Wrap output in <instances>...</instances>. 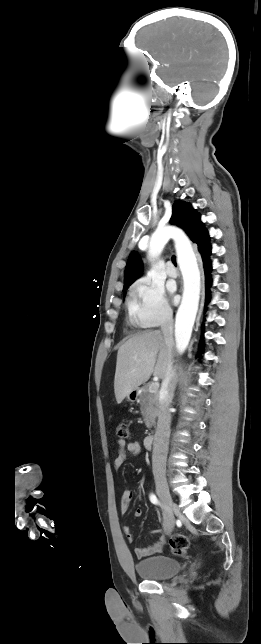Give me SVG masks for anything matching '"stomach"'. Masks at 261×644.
Segmentation results:
<instances>
[{"instance_id":"obj_1","label":"stomach","mask_w":261,"mask_h":644,"mask_svg":"<svg viewBox=\"0 0 261 644\" xmlns=\"http://www.w3.org/2000/svg\"><path fill=\"white\" fill-rule=\"evenodd\" d=\"M138 397V390L132 391L130 394L127 395V399L130 402H134Z\"/></svg>"}]
</instances>
